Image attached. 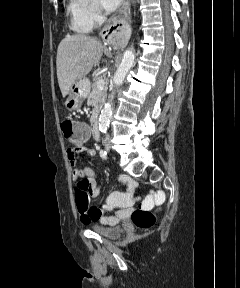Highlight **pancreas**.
I'll return each mask as SVG.
<instances>
[{"label": "pancreas", "instance_id": "pancreas-1", "mask_svg": "<svg viewBox=\"0 0 240 288\" xmlns=\"http://www.w3.org/2000/svg\"><path fill=\"white\" fill-rule=\"evenodd\" d=\"M101 77H97L92 85V92L87 99L88 105L93 107V114L97 113L99 107L104 103L105 98L107 96V89L104 87L103 89H99L97 82Z\"/></svg>", "mask_w": 240, "mask_h": 288}]
</instances>
